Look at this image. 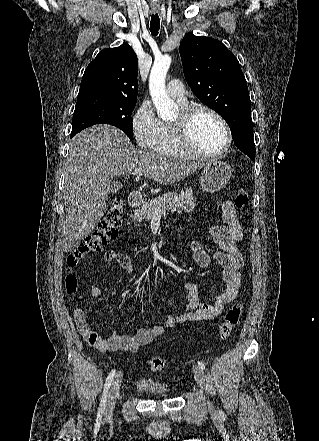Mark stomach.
Returning <instances> with one entry per match:
<instances>
[{"label":"stomach","mask_w":319,"mask_h":441,"mask_svg":"<svg viewBox=\"0 0 319 441\" xmlns=\"http://www.w3.org/2000/svg\"><path fill=\"white\" fill-rule=\"evenodd\" d=\"M231 175L232 169L230 165L219 160H211L204 166L200 178L201 189L210 193L217 192L225 187Z\"/></svg>","instance_id":"1"}]
</instances>
